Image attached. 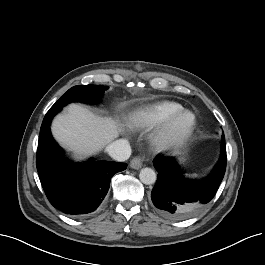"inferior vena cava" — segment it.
<instances>
[{
    "label": "inferior vena cava",
    "instance_id": "inferior-vena-cava-1",
    "mask_svg": "<svg viewBox=\"0 0 265 265\" xmlns=\"http://www.w3.org/2000/svg\"><path fill=\"white\" fill-rule=\"evenodd\" d=\"M108 154L116 161H126L131 155V147L127 140L119 139L106 147Z\"/></svg>",
    "mask_w": 265,
    "mask_h": 265
}]
</instances>
